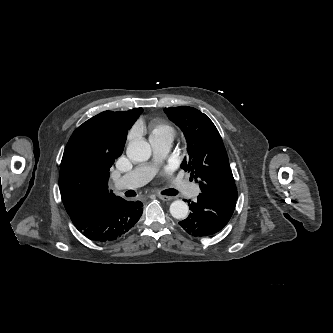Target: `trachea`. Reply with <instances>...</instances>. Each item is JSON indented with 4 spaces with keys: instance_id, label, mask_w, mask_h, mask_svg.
<instances>
[{
    "instance_id": "trachea-1",
    "label": "trachea",
    "mask_w": 333,
    "mask_h": 333,
    "mask_svg": "<svg viewBox=\"0 0 333 333\" xmlns=\"http://www.w3.org/2000/svg\"><path fill=\"white\" fill-rule=\"evenodd\" d=\"M163 195H170V196H175L178 194V191L175 189H166L161 192Z\"/></svg>"
}]
</instances>
